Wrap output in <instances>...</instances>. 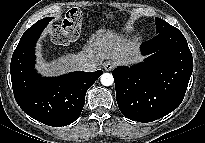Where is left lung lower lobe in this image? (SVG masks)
Instances as JSON below:
<instances>
[{"label":"left lung lower lobe","mask_w":205,"mask_h":143,"mask_svg":"<svg viewBox=\"0 0 205 143\" xmlns=\"http://www.w3.org/2000/svg\"><path fill=\"white\" fill-rule=\"evenodd\" d=\"M150 56L133 67L114 69L116 100L130 120L152 122L175 110L182 102L193 59L187 41L177 29L157 34L141 45Z\"/></svg>","instance_id":"1"}]
</instances>
